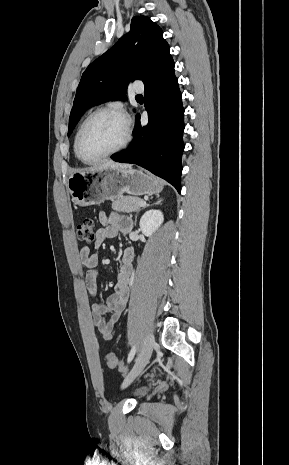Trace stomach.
Returning <instances> with one entry per match:
<instances>
[{"instance_id": "0dacf381", "label": "stomach", "mask_w": 289, "mask_h": 465, "mask_svg": "<svg viewBox=\"0 0 289 465\" xmlns=\"http://www.w3.org/2000/svg\"><path fill=\"white\" fill-rule=\"evenodd\" d=\"M67 188L75 204L85 207L114 200L124 193L131 195L157 194L162 182L133 168L98 169L70 175Z\"/></svg>"}]
</instances>
